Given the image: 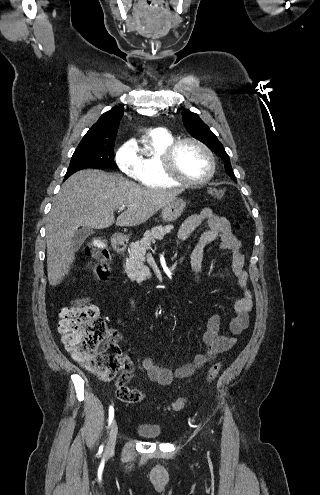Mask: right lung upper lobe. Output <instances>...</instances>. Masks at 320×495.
<instances>
[{
    "instance_id": "cb5924a9",
    "label": "right lung upper lobe",
    "mask_w": 320,
    "mask_h": 495,
    "mask_svg": "<svg viewBox=\"0 0 320 495\" xmlns=\"http://www.w3.org/2000/svg\"><path fill=\"white\" fill-rule=\"evenodd\" d=\"M123 116V109L113 107L105 112L98 121L88 130L80 142V146L114 144L118 131L119 121Z\"/></svg>"
}]
</instances>
